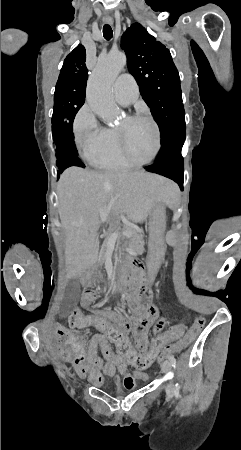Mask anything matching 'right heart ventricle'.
<instances>
[{
  "label": "right heart ventricle",
  "mask_w": 241,
  "mask_h": 450,
  "mask_svg": "<svg viewBox=\"0 0 241 450\" xmlns=\"http://www.w3.org/2000/svg\"><path fill=\"white\" fill-rule=\"evenodd\" d=\"M120 124V123H119ZM101 131V149L97 155H84L86 161L96 168H118L127 167L126 157H122V151L119 149V144L116 142L114 129L104 128L97 123L95 124ZM128 153V152H127Z\"/></svg>",
  "instance_id": "right-heart-ventricle-1"
}]
</instances>
